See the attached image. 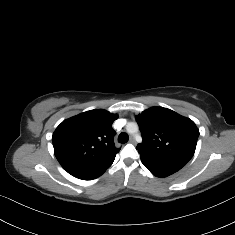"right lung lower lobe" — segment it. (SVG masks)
I'll return each instance as SVG.
<instances>
[{
	"label": "right lung lower lobe",
	"instance_id": "right-lung-lower-lobe-1",
	"mask_svg": "<svg viewBox=\"0 0 235 235\" xmlns=\"http://www.w3.org/2000/svg\"><path fill=\"white\" fill-rule=\"evenodd\" d=\"M104 172L95 173V174H71V175L82 180H92V179L98 178Z\"/></svg>",
	"mask_w": 235,
	"mask_h": 235
}]
</instances>
